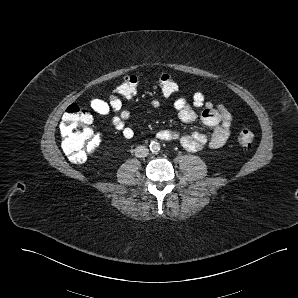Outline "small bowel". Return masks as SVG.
Returning a JSON list of instances; mask_svg holds the SVG:
<instances>
[{
  "label": "small bowel",
  "mask_w": 298,
  "mask_h": 298,
  "mask_svg": "<svg viewBox=\"0 0 298 298\" xmlns=\"http://www.w3.org/2000/svg\"><path fill=\"white\" fill-rule=\"evenodd\" d=\"M149 104L152 108H159L160 101L153 99ZM173 106L182 122L191 123L200 119L205 125L214 127V130L210 135H206L197 131L181 134L165 129L158 132L159 139L178 140L183 148L191 152L199 151L206 146L217 149L227 142L234 125L233 115L227 107L222 104L215 105L206 100L202 92L194 93L191 101L183 97L177 98ZM90 107L98 115H112L113 126L124 138L134 137V128L127 124L131 113L123 109L118 97L110 95L106 99L95 98L91 100Z\"/></svg>",
  "instance_id": "1"
}]
</instances>
